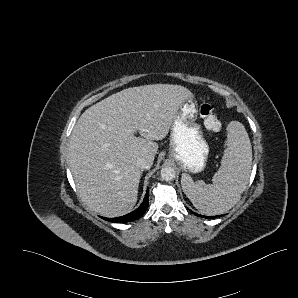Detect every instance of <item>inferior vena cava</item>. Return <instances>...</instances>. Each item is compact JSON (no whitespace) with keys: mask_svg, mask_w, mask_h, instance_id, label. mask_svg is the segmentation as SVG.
Here are the masks:
<instances>
[{"mask_svg":"<svg viewBox=\"0 0 298 298\" xmlns=\"http://www.w3.org/2000/svg\"><path fill=\"white\" fill-rule=\"evenodd\" d=\"M136 166L140 169H150L152 167V162L143 157H140L136 161Z\"/></svg>","mask_w":298,"mask_h":298,"instance_id":"1","label":"inferior vena cava"}]
</instances>
